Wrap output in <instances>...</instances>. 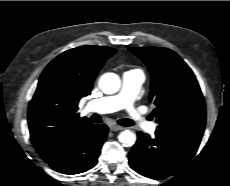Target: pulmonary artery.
Wrapping results in <instances>:
<instances>
[{
	"instance_id": "e3ab8cb5",
	"label": "pulmonary artery",
	"mask_w": 230,
	"mask_h": 186,
	"mask_svg": "<svg viewBox=\"0 0 230 186\" xmlns=\"http://www.w3.org/2000/svg\"><path fill=\"white\" fill-rule=\"evenodd\" d=\"M144 79V73L140 70L126 71L122 76V87L119 93L91 100L87 104V109L97 113H111L125 109L133 123L141 126L149 133H154L157 124L148 123L134 107L135 98Z\"/></svg>"
}]
</instances>
